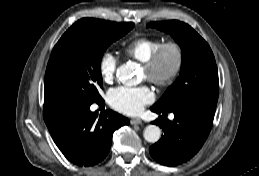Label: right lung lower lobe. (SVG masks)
Returning <instances> with one entry per match:
<instances>
[{
  "label": "right lung lower lobe",
  "mask_w": 259,
  "mask_h": 176,
  "mask_svg": "<svg viewBox=\"0 0 259 176\" xmlns=\"http://www.w3.org/2000/svg\"><path fill=\"white\" fill-rule=\"evenodd\" d=\"M91 104L58 100L44 106L43 111L57 147L69 161L80 166L101 162L110 150L113 132L129 124L127 118L112 110L98 116V112L90 111Z\"/></svg>",
  "instance_id": "1"
}]
</instances>
